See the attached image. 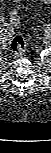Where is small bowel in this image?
Segmentation results:
<instances>
[{
    "mask_svg": "<svg viewBox=\"0 0 51 153\" xmlns=\"http://www.w3.org/2000/svg\"><path fill=\"white\" fill-rule=\"evenodd\" d=\"M22 1L23 0H16V2L20 5L21 3H22ZM33 1H35V0H33ZM37 1H42V2H44V3H50L51 2V0H37ZM2 20V19H1Z\"/></svg>",
    "mask_w": 51,
    "mask_h": 153,
    "instance_id": "small-bowel-1",
    "label": "small bowel"
}]
</instances>
